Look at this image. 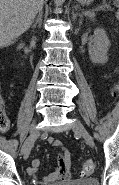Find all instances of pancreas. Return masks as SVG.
<instances>
[{"mask_svg": "<svg viewBox=\"0 0 119 185\" xmlns=\"http://www.w3.org/2000/svg\"><path fill=\"white\" fill-rule=\"evenodd\" d=\"M89 18H91V19H94V17H95V13L93 12V13H91V14H89V15H87Z\"/></svg>", "mask_w": 119, "mask_h": 185, "instance_id": "cf45deb5", "label": "pancreas"}]
</instances>
